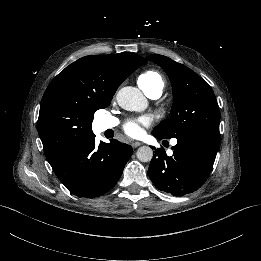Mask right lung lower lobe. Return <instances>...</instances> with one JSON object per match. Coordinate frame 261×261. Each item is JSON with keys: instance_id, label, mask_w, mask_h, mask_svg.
<instances>
[{"instance_id": "1", "label": "right lung lower lobe", "mask_w": 261, "mask_h": 261, "mask_svg": "<svg viewBox=\"0 0 261 261\" xmlns=\"http://www.w3.org/2000/svg\"><path fill=\"white\" fill-rule=\"evenodd\" d=\"M94 139L52 165L59 180L78 197H99L111 190L133 153L130 145L115 139L97 147Z\"/></svg>"}]
</instances>
